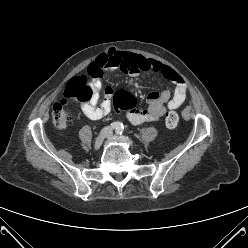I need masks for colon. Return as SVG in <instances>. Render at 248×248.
I'll list each match as a JSON object with an SVG mask.
<instances>
[{"label":"colon","mask_w":248,"mask_h":248,"mask_svg":"<svg viewBox=\"0 0 248 248\" xmlns=\"http://www.w3.org/2000/svg\"><path fill=\"white\" fill-rule=\"evenodd\" d=\"M89 75L94 78H100L102 69L91 66L88 69ZM93 89L86 75H78L72 78L66 86L64 98L60 99L53 106L52 119L55 126L64 128L71 119V114L67 109L70 101L87 102L92 98ZM114 106L116 109L130 110L133 106V99L126 92L118 93L114 98ZM166 125L174 128L179 121V116L175 111H170L166 116Z\"/></svg>","instance_id":"colon-1"}]
</instances>
